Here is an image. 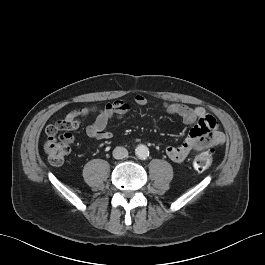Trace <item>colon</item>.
Segmentation results:
<instances>
[{
  "label": "colon",
  "mask_w": 265,
  "mask_h": 265,
  "mask_svg": "<svg viewBox=\"0 0 265 265\" xmlns=\"http://www.w3.org/2000/svg\"><path fill=\"white\" fill-rule=\"evenodd\" d=\"M81 112L86 113L88 109H82ZM74 126V121L66 116L46 128L48 138L44 150L51 164L60 165L65 161L70 152L72 135L70 133L59 134V132L73 130ZM212 163L213 152L209 149L199 152L193 160L195 170L200 172L208 170Z\"/></svg>",
  "instance_id": "5ec220e1"
}]
</instances>
